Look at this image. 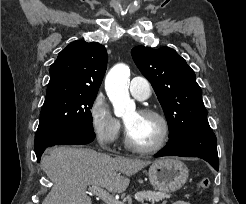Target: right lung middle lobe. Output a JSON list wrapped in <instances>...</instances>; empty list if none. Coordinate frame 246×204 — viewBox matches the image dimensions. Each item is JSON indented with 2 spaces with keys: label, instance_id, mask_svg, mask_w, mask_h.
Returning a JSON list of instances; mask_svg holds the SVG:
<instances>
[{
  "label": "right lung middle lobe",
  "instance_id": "right-lung-middle-lobe-1",
  "mask_svg": "<svg viewBox=\"0 0 246 204\" xmlns=\"http://www.w3.org/2000/svg\"><path fill=\"white\" fill-rule=\"evenodd\" d=\"M96 94H71L45 101L34 149L54 146L77 130L93 131L90 109Z\"/></svg>",
  "mask_w": 246,
  "mask_h": 204
}]
</instances>
